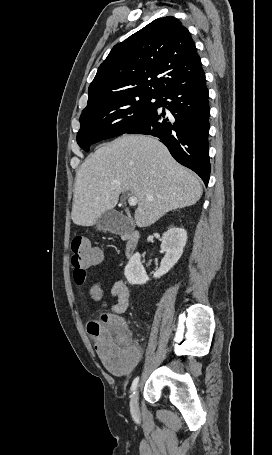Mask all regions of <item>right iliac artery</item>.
I'll list each match as a JSON object with an SVG mask.
<instances>
[{
	"instance_id": "1",
	"label": "right iliac artery",
	"mask_w": 272,
	"mask_h": 455,
	"mask_svg": "<svg viewBox=\"0 0 272 455\" xmlns=\"http://www.w3.org/2000/svg\"><path fill=\"white\" fill-rule=\"evenodd\" d=\"M138 382H139V377H136L132 382L131 390L133 391V393L135 392V390L137 388Z\"/></svg>"
}]
</instances>
